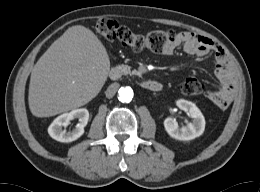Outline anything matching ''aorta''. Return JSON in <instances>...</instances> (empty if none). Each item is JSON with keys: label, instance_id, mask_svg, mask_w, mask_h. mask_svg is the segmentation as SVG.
Wrapping results in <instances>:
<instances>
[{"label": "aorta", "instance_id": "aorta-1", "mask_svg": "<svg viewBox=\"0 0 260 192\" xmlns=\"http://www.w3.org/2000/svg\"><path fill=\"white\" fill-rule=\"evenodd\" d=\"M118 99L123 103L131 102L133 98V90L130 87H121L118 92Z\"/></svg>", "mask_w": 260, "mask_h": 192}]
</instances>
